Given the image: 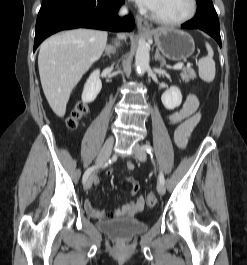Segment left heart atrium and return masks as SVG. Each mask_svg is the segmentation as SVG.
Returning a JSON list of instances; mask_svg holds the SVG:
<instances>
[{"instance_id": "obj_1", "label": "left heart atrium", "mask_w": 247, "mask_h": 265, "mask_svg": "<svg viewBox=\"0 0 247 265\" xmlns=\"http://www.w3.org/2000/svg\"><path fill=\"white\" fill-rule=\"evenodd\" d=\"M138 5L151 9L156 0H134Z\"/></svg>"}]
</instances>
